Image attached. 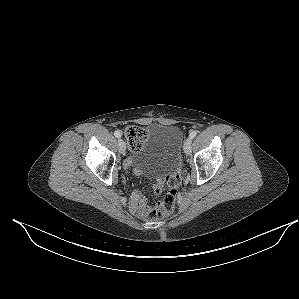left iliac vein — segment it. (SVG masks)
<instances>
[{"instance_id": "left-iliac-vein-1", "label": "left iliac vein", "mask_w": 299, "mask_h": 299, "mask_svg": "<svg viewBox=\"0 0 299 299\" xmlns=\"http://www.w3.org/2000/svg\"><path fill=\"white\" fill-rule=\"evenodd\" d=\"M192 139L187 138L184 142V152L189 155L191 153Z\"/></svg>"}]
</instances>
